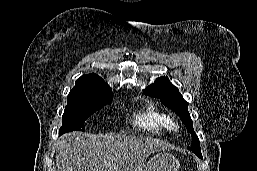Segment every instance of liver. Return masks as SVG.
<instances>
[{"label": "liver", "instance_id": "obj_1", "mask_svg": "<svg viewBox=\"0 0 257 171\" xmlns=\"http://www.w3.org/2000/svg\"><path fill=\"white\" fill-rule=\"evenodd\" d=\"M167 148L153 138L71 132L57 143L56 165L58 171H144L147 157Z\"/></svg>", "mask_w": 257, "mask_h": 171}]
</instances>
